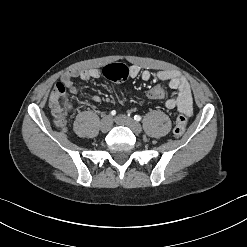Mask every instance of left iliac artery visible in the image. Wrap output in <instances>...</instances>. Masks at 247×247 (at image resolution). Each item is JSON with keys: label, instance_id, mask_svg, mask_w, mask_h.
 <instances>
[{"label": "left iliac artery", "instance_id": "left-iliac-artery-1", "mask_svg": "<svg viewBox=\"0 0 247 247\" xmlns=\"http://www.w3.org/2000/svg\"><path fill=\"white\" fill-rule=\"evenodd\" d=\"M134 120L140 121V120H141V116H140V115H135V116H134Z\"/></svg>", "mask_w": 247, "mask_h": 247}]
</instances>
